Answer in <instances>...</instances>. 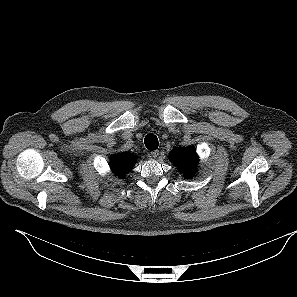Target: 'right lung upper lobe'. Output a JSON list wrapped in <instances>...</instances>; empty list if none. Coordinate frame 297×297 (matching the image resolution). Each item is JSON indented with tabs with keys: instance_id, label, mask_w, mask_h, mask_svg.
Listing matches in <instances>:
<instances>
[{
	"instance_id": "obj_1",
	"label": "right lung upper lobe",
	"mask_w": 297,
	"mask_h": 297,
	"mask_svg": "<svg viewBox=\"0 0 297 297\" xmlns=\"http://www.w3.org/2000/svg\"><path fill=\"white\" fill-rule=\"evenodd\" d=\"M136 161V156L131 153L116 154L110 160V167L116 176L123 178L134 167Z\"/></svg>"
}]
</instances>
